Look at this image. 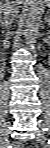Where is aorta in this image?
Here are the masks:
<instances>
[{"label":"aorta","instance_id":"obj_1","mask_svg":"<svg viewBox=\"0 0 50 148\" xmlns=\"http://www.w3.org/2000/svg\"><path fill=\"white\" fill-rule=\"evenodd\" d=\"M44 13V5L41 1L32 0V4L28 9L25 20V40L28 49L33 50L35 47L37 35L42 22Z\"/></svg>","mask_w":50,"mask_h":148}]
</instances>
